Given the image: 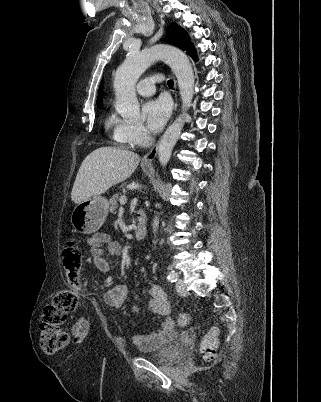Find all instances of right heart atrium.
<instances>
[{
    "instance_id": "obj_1",
    "label": "right heart atrium",
    "mask_w": 321,
    "mask_h": 402,
    "mask_svg": "<svg viewBox=\"0 0 321 402\" xmlns=\"http://www.w3.org/2000/svg\"><path fill=\"white\" fill-rule=\"evenodd\" d=\"M148 133L142 125H131L130 139L135 146H144L148 142Z\"/></svg>"
}]
</instances>
